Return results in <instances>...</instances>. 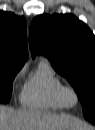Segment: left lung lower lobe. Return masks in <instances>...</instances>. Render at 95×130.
<instances>
[{
  "mask_svg": "<svg viewBox=\"0 0 95 130\" xmlns=\"http://www.w3.org/2000/svg\"><path fill=\"white\" fill-rule=\"evenodd\" d=\"M90 122H92L93 124L95 123V120H93V121H90Z\"/></svg>",
  "mask_w": 95,
  "mask_h": 130,
  "instance_id": "left-lung-lower-lobe-1",
  "label": "left lung lower lobe"
}]
</instances>
